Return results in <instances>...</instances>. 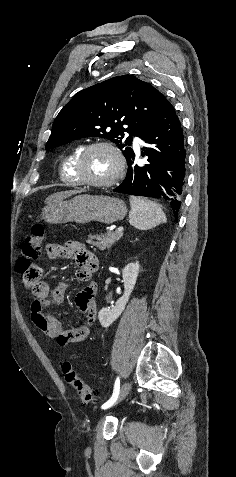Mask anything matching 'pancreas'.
<instances>
[{"label": "pancreas", "mask_w": 236, "mask_h": 477, "mask_svg": "<svg viewBox=\"0 0 236 477\" xmlns=\"http://www.w3.org/2000/svg\"><path fill=\"white\" fill-rule=\"evenodd\" d=\"M87 243L96 246L100 250H105L110 248L116 241L122 237V233L117 232H107L100 235H89Z\"/></svg>", "instance_id": "cf45deb5"}]
</instances>
